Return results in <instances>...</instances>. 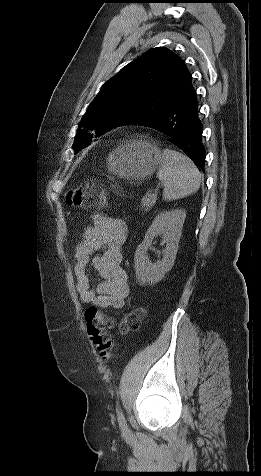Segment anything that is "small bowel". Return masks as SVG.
Segmentation results:
<instances>
[{
  "instance_id": "1",
  "label": "small bowel",
  "mask_w": 261,
  "mask_h": 476,
  "mask_svg": "<svg viewBox=\"0 0 261 476\" xmlns=\"http://www.w3.org/2000/svg\"><path fill=\"white\" fill-rule=\"evenodd\" d=\"M127 231L124 221L103 214H95L92 224L84 229L74 250L76 290L83 303L101 309L124 307L130 293L121 265ZM90 265L101 277L95 288L91 286Z\"/></svg>"
}]
</instances>
